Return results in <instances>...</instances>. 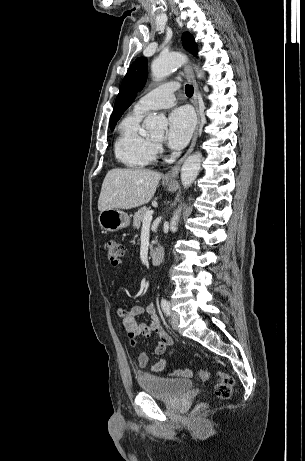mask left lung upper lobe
<instances>
[{
  "label": "left lung upper lobe",
  "instance_id": "1",
  "mask_svg": "<svg viewBox=\"0 0 305 461\" xmlns=\"http://www.w3.org/2000/svg\"><path fill=\"white\" fill-rule=\"evenodd\" d=\"M184 48L192 54H197V45L190 33L182 35ZM147 59L144 57L137 58L129 67L125 75L119 94L116 98L113 113L110 119V128L113 130L117 121L126 109L133 102L137 93L142 90L147 78Z\"/></svg>",
  "mask_w": 305,
  "mask_h": 461
}]
</instances>
